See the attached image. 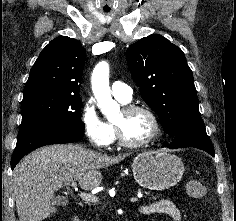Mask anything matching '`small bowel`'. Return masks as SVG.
I'll list each match as a JSON object with an SVG mask.
<instances>
[{"label":"small bowel","mask_w":236,"mask_h":221,"mask_svg":"<svg viewBox=\"0 0 236 221\" xmlns=\"http://www.w3.org/2000/svg\"><path fill=\"white\" fill-rule=\"evenodd\" d=\"M140 212L144 215H167L170 217L171 221H181L179 210L170 200H159L144 205L140 208Z\"/></svg>","instance_id":"1"}]
</instances>
